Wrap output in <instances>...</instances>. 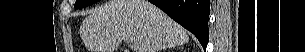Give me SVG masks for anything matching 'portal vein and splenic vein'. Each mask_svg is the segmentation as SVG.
<instances>
[{
	"instance_id": "obj_1",
	"label": "portal vein and splenic vein",
	"mask_w": 305,
	"mask_h": 52,
	"mask_svg": "<svg viewBox=\"0 0 305 52\" xmlns=\"http://www.w3.org/2000/svg\"><path fill=\"white\" fill-rule=\"evenodd\" d=\"M127 42H128V43H130V44H132V45L134 46L133 41H131V40H127Z\"/></svg>"
}]
</instances>
